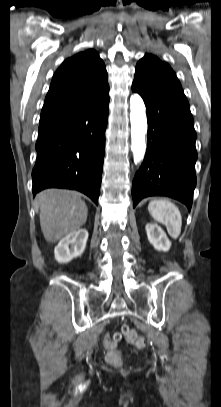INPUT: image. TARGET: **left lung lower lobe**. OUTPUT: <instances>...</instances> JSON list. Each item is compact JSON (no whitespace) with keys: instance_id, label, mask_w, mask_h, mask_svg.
<instances>
[{"instance_id":"left-lung-lower-lobe-1","label":"left lung lower lobe","mask_w":221,"mask_h":407,"mask_svg":"<svg viewBox=\"0 0 221 407\" xmlns=\"http://www.w3.org/2000/svg\"><path fill=\"white\" fill-rule=\"evenodd\" d=\"M132 90L147 108V150L132 186L133 207L148 196H167L190 211L196 186V132L183 90L148 91L136 84Z\"/></svg>"}]
</instances>
